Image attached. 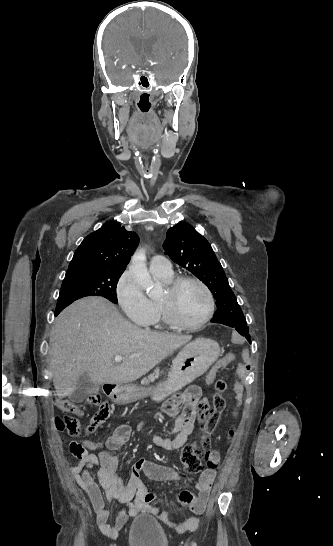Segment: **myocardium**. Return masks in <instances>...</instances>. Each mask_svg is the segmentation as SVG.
I'll list each match as a JSON object with an SVG mask.
<instances>
[{
    "label": "myocardium",
    "mask_w": 333,
    "mask_h": 546,
    "mask_svg": "<svg viewBox=\"0 0 333 546\" xmlns=\"http://www.w3.org/2000/svg\"><path fill=\"white\" fill-rule=\"evenodd\" d=\"M189 282L197 284L204 291L207 297V309L204 316L198 322L193 324H188L181 321L174 313L170 303L171 297L175 295L178 289L183 284L189 283ZM166 291L168 293V299L160 300L159 306L162 311L165 322L169 324L171 327L178 330H183V331H195L205 326L212 318L215 311V298H214L213 292L203 280L194 276H178L174 278L170 283H168Z\"/></svg>",
    "instance_id": "f54148a6"
}]
</instances>
